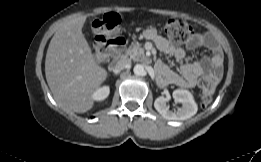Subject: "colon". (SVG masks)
Listing matches in <instances>:
<instances>
[{"mask_svg":"<svg viewBox=\"0 0 261 162\" xmlns=\"http://www.w3.org/2000/svg\"><path fill=\"white\" fill-rule=\"evenodd\" d=\"M92 29L95 33L94 54L98 59L109 58V48L112 44L125 42L121 18L116 13H107L95 20ZM163 32L176 44L187 43L193 39V28L187 22L178 19L169 20L164 25ZM216 86L217 79L215 77L204 76L200 79L199 88L204 103L211 101Z\"/></svg>","mask_w":261,"mask_h":162,"instance_id":"1","label":"colon"}]
</instances>
